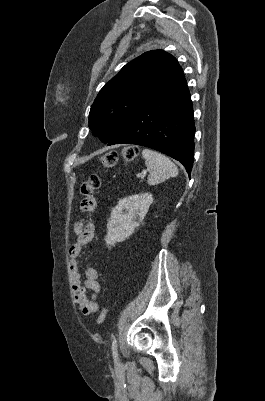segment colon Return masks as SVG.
<instances>
[{
	"mask_svg": "<svg viewBox=\"0 0 265 401\" xmlns=\"http://www.w3.org/2000/svg\"><path fill=\"white\" fill-rule=\"evenodd\" d=\"M138 155V149L136 147H125L122 152V156L127 161L134 160ZM118 161V154L116 152H108L102 157V166L105 169L113 168ZM102 179L100 174L94 173L84 181L80 187L81 195L85 197L92 196L101 186ZM107 314V308L103 307L98 316V323L102 324L105 321Z\"/></svg>",
	"mask_w": 265,
	"mask_h": 401,
	"instance_id": "5ec220e1",
	"label": "colon"
}]
</instances>
